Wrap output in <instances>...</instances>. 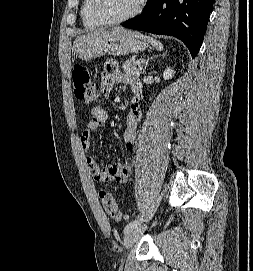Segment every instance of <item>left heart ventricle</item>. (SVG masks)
Returning <instances> with one entry per match:
<instances>
[{
	"label": "left heart ventricle",
	"instance_id": "1",
	"mask_svg": "<svg viewBox=\"0 0 253 271\" xmlns=\"http://www.w3.org/2000/svg\"><path fill=\"white\" fill-rule=\"evenodd\" d=\"M140 0H100V10L108 19H117L129 14Z\"/></svg>",
	"mask_w": 253,
	"mask_h": 271
}]
</instances>
